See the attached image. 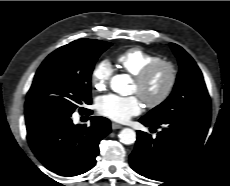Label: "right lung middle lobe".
<instances>
[{"instance_id":"dd1d6c3e","label":"right lung middle lobe","mask_w":230,"mask_h":186,"mask_svg":"<svg viewBox=\"0 0 230 186\" xmlns=\"http://www.w3.org/2000/svg\"><path fill=\"white\" fill-rule=\"evenodd\" d=\"M110 46L109 42L80 39L52 52L35 74L27 93L25 114L44 111L72 114L81 105L90 104L94 64Z\"/></svg>"}]
</instances>
